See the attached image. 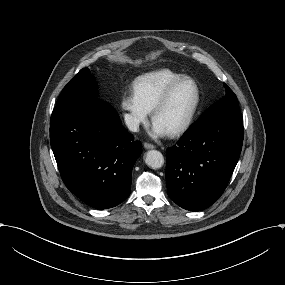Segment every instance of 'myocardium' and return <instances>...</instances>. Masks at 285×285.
Segmentation results:
<instances>
[{
    "instance_id": "1",
    "label": "myocardium",
    "mask_w": 285,
    "mask_h": 285,
    "mask_svg": "<svg viewBox=\"0 0 285 285\" xmlns=\"http://www.w3.org/2000/svg\"><path fill=\"white\" fill-rule=\"evenodd\" d=\"M185 82H192L195 85L196 91H197L196 100H195L194 106L191 109L187 118L181 124H179L175 128L168 131L169 134H171V135H176V134H179V133L185 131L186 129L189 128V126L193 122V120H194V118H195V116H196V114L200 108L201 101H202V90H201V87H200V84L198 83V81L192 77L186 76V77H183V78L179 79L178 81L174 82L172 85H170L167 88V90L164 92V94L161 96V98L159 99V101L156 103V105L154 106V108L152 110V118H153V120H155L157 113L163 107L166 106V104L169 102L174 91L180 85H182Z\"/></svg>"
}]
</instances>
